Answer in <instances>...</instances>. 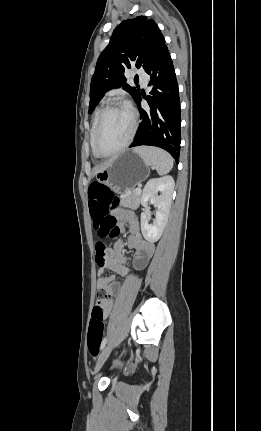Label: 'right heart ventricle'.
<instances>
[{
  "instance_id": "1",
  "label": "right heart ventricle",
  "mask_w": 261,
  "mask_h": 431,
  "mask_svg": "<svg viewBox=\"0 0 261 431\" xmlns=\"http://www.w3.org/2000/svg\"><path fill=\"white\" fill-rule=\"evenodd\" d=\"M100 112H101V109H97L95 111V113H94L93 120H92V125H91V129H90V138H89V142H90V147H91L92 153H93V155L96 158H100V156L95 152L93 140H94L95 127H96L97 120H98Z\"/></svg>"
}]
</instances>
